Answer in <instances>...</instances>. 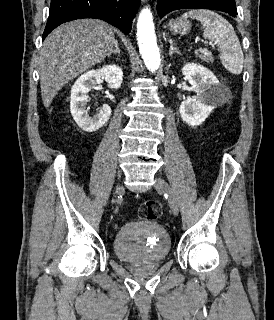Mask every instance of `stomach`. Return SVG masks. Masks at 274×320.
Listing matches in <instances>:
<instances>
[{
  "label": "stomach",
  "mask_w": 274,
  "mask_h": 320,
  "mask_svg": "<svg viewBox=\"0 0 274 320\" xmlns=\"http://www.w3.org/2000/svg\"><path fill=\"white\" fill-rule=\"evenodd\" d=\"M164 28H167V26H164ZM168 30H170L171 34H181V36H185V34H189L191 24L186 18H177V20H170Z\"/></svg>",
  "instance_id": "0dacf381"
}]
</instances>
